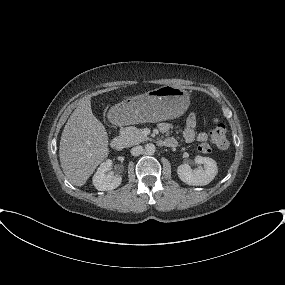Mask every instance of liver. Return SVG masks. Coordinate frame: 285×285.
<instances>
[{
  "label": "liver",
  "mask_w": 285,
  "mask_h": 285,
  "mask_svg": "<svg viewBox=\"0 0 285 285\" xmlns=\"http://www.w3.org/2000/svg\"><path fill=\"white\" fill-rule=\"evenodd\" d=\"M108 153V134L92 113L91 99L87 97L79 102L63 129L61 167L67 179L81 187Z\"/></svg>",
  "instance_id": "liver-1"
}]
</instances>
